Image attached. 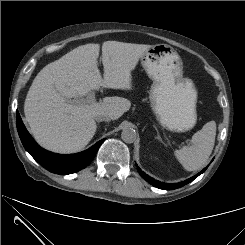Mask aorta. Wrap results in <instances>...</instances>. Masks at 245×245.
<instances>
[{
  "instance_id": "1",
  "label": "aorta",
  "mask_w": 245,
  "mask_h": 245,
  "mask_svg": "<svg viewBox=\"0 0 245 245\" xmlns=\"http://www.w3.org/2000/svg\"><path fill=\"white\" fill-rule=\"evenodd\" d=\"M121 138L125 143H133L137 138L136 131L131 127H126L122 130Z\"/></svg>"
}]
</instances>
